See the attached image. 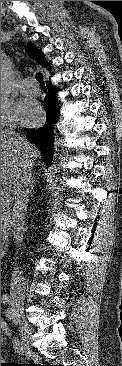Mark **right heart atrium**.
Here are the masks:
<instances>
[{
	"label": "right heart atrium",
	"mask_w": 122,
	"mask_h": 366,
	"mask_svg": "<svg viewBox=\"0 0 122 366\" xmlns=\"http://www.w3.org/2000/svg\"><path fill=\"white\" fill-rule=\"evenodd\" d=\"M11 104L8 101L1 100V128H14L15 116L11 114Z\"/></svg>",
	"instance_id": "d8ad5b80"
}]
</instances>
